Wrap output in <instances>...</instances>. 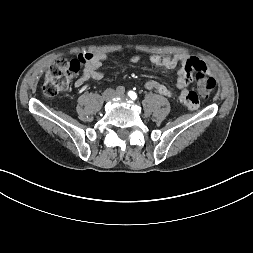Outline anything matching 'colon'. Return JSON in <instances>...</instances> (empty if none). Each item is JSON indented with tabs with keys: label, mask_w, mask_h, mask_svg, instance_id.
Segmentation results:
<instances>
[{
	"label": "colon",
	"mask_w": 253,
	"mask_h": 253,
	"mask_svg": "<svg viewBox=\"0 0 253 253\" xmlns=\"http://www.w3.org/2000/svg\"><path fill=\"white\" fill-rule=\"evenodd\" d=\"M91 54L81 55L76 59H60L48 69L42 86V92L47 97H54L66 89L70 81L85 66ZM187 64L194 72L198 94L209 95L215 87V80L208 75L206 65L196 58H190Z\"/></svg>",
	"instance_id": "5ec220e1"
}]
</instances>
